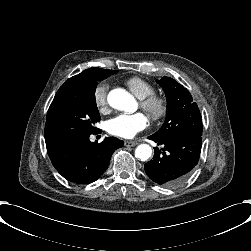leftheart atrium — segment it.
Listing matches in <instances>:
<instances>
[{
    "instance_id": "1",
    "label": "left heart atrium",
    "mask_w": 251,
    "mask_h": 251,
    "mask_svg": "<svg viewBox=\"0 0 251 251\" xmlns=\"http://www.w3.org/2000/svg\"><path fill=\"white\" fill-rule=\"evenodd\" d=\"M148 116L143 112L122 113L109 119L106 123L107 131L115 136L131 138L147 127Z\"/></svg>"
}]
</instances>
